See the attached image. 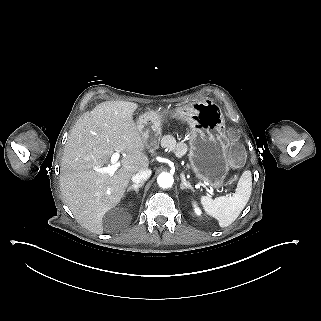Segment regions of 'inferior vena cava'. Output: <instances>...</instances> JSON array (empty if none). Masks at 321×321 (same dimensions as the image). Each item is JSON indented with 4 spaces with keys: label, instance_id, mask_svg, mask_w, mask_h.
I'll return each instance as SVG.
<instances>
[{
    "label": "inferior vena cava",
    "instance_id": "602c4592",
    "mask_svg": "<svg viewBox=\"0 0 321 321\" xmlns=\"http://www.w3.org/2000/svg\"><path fill=\"white\" fill-rule=\"evenodd\" d=\"M151 176V170L147 169L142 172H138L134 174L131 178L132 182L136 185L144 183L146 180H148Z\"/></svg>",
    "mask_w": 321,
    "mask_h": 321
}]
</instances>
